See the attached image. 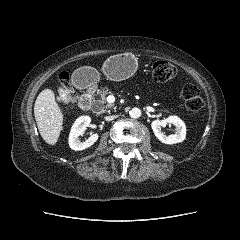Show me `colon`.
<instances>
[{
  "instance_id": "5ec220e1",
  "label": "colon",
  "mask_w": 240,
  "mask_h": 240,
  "mask_svg": "<svg viewBox=\"0 0 240 240\" xmlns=\"http://www.w3.org/2000/svg\"><path fill=\"white\" fill-rule=\"evenodd\" d=\"M177 70L171 63L158 60L152 66L153 78L158 82H166L175 77ZM60 82L65 89L66 99L68 103H72L75 100L73 90L70 86L69 75L67 72H62L59 76ZM181 97L185 102V105L192 113H198L203 107V99L200 94V90L194 84L188 83L183 86L181 90Z\"/></svg>"
}]
</instances>
